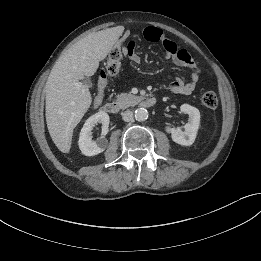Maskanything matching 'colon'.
Listing matches in <instances>:
<instances>
[{"mask_svg": "<svg viewBox=\"0 0 261 261\" xmlns=\"http://www.w3.org/2000/svg\"><path fill=\"white\" fill-rule=\"evenodd\" d=\"M132 32L127 30L124 39L119 41L116 47L109 53L105 66L98 73V92H104L108 78L115 76L121 69L122 50L129 42ZM204 106L214 109L218 105V96L213 91H206L201 97Z\"/></svg>", "mask_w": 261, "mask_h": 261, "instance_id": "1", "label": "colon"}]
</instances>
